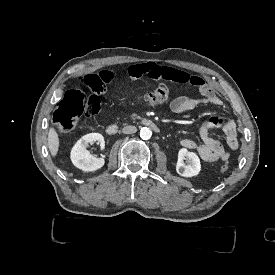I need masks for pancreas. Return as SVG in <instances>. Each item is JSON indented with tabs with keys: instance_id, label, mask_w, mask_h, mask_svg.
<instances>
[{
	"instance_id": "pancreas-1",
	"label": "pancreas",
	"mask_w": 275,
	"mask_h": 275,
	"mask_svg": "<svg viewBox=\"0 0 275 275\" xmlns=\"http://www.w3.org/2000/svg\"><path fill=\"white\" fill-rule=\"evenodd\" d=\"M131 118L135 119V118H139V116L136 113L131 114Z\"/></svg>"
}]
</instances>
